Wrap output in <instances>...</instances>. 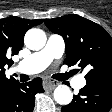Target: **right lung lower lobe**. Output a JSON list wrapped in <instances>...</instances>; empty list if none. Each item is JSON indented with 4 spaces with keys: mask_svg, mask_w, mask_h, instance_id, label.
<instances>
[{
    "mask_svg": "<svg viewBox=\"0 0 112 112\" xmlns=\"http://www.w3.org/2000/svg\"><path fill=\"white\" fill-rule=\"evenodd\" d=\"M42 92L41 78L28 83L14 81L0 95V112H33L35 95Z\"/></svg>",
    "mask_w": 112,
    "mask_h": 112,
    "instance_id": "right-lung-lower-lobe-1",
    "label": "right lung lower lobe"
}]
</instances>
